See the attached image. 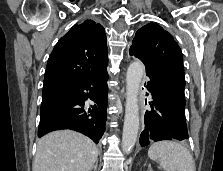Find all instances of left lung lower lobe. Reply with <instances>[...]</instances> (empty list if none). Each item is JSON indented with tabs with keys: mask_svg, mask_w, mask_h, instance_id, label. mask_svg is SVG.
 Listing matches in <instances>:
<instances>
[{
	"mask_svg": "<svg viewBox=\"0 0 223 171\" xmlns=\"http://www.w3.org/2000/svg\"><path fill=\"white\" fill-rule=\"evenodd\" d=\"M130 55L139 58L132 51ZM145 67L149 77L146 88L152 94L153 101L150 102L152 109L145 113V129L140 135V145L144 147L153 141L187 139L185 87L147 64Z\"/></svg>",
	"mask_w": 223,
	"mask_h": 171,
	"instance_id": "obj_1",
	"label": "left lung lower lobe"
}]
</instances>
